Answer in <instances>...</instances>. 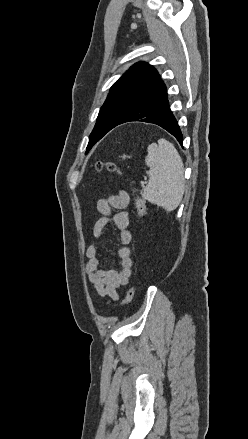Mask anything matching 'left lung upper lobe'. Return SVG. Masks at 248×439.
<instances>
[{
	"mask_svg": "<svg viewBox=\"0 0 248 439\" xmlns=\"http://www.w3.org/2000/svg\"><path fill=\"white\" fill-rule=\"evenodd\" d=\"M160 80L157 70L145 62L134 64L111 87L89 136L86 153L114 128Z\"/></svg>",
	"mask_w": 248,
	"mask_h": 439,
	"instance_id": "5c2ea615",
	"label": "left lung upper lobe"
}]
</instances>
